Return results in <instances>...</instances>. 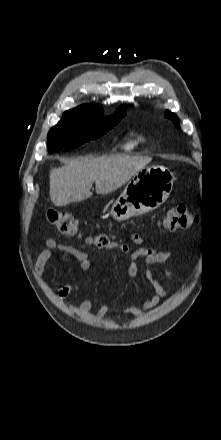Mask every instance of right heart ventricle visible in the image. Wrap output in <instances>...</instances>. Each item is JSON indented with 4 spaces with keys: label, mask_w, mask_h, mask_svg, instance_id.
Listing matches in <instances>:
<instances>
[{
    "label": "right heart ventricle",
    "mask_w": 221,
    "mask_h": 440,
    "mask_svg": "<svg viewBox=\"0 0 221 440\" xmlns=\"http://www.w3.org/2000/svg\"><path fill=\"white\" fill-rule=\"evenodd\" d=\"M150 138H151L150 133L146 131L133 133L126 144V148L135 149L138 147H142L148 143Z\"/></svg>",
    "instance_id": "obj_1"
}]
</instances>
